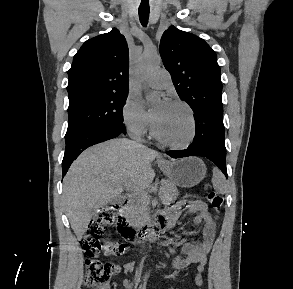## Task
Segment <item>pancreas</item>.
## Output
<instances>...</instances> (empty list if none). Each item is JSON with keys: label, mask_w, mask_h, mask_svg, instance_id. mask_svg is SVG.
Returning <instances> with one entry per match:
<instances>
[{"label": "pancreas", "mask_w": 293, "mask_h": 289, "mask_svg": "<svg viewBox=\"0 0 293 289\" xmlns=\"http://www.w3.org/2000/svg\"><path fill=\"white\" fill-rule=\"evenodd\" d=\"M160 197L162 201H172L178 197V190L176 186L165 180L161 183ZM149 203V197L146 193H137L132 198L128 205L125 214L129 221L136 225H142L148 219L147 205Z\"/></svg>", "instance_id": "pancreas-1"}]
</instances>
